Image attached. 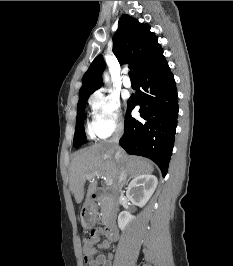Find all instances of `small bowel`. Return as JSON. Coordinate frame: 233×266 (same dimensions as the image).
I'll return each instance as SVG.
<instances>
[{
  "label": "small bowel",
  "instance_id": "obj_1",
  "mask_svg": "<svg viewBox=\"0 0 233 266\" xmlns=\"http://www.w3.org/2000/svg\"><path fill=\"white\" fill-rule=\"evenodd\" d=\"M112 242L109 239L101 241L97 247L87 241L84 242V260L87 266H112V254L101 253L100 250L109 249Z\"/></svg>",
  "mask_w": 233,
  "mask_h": 266
}]
</instances>
